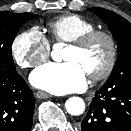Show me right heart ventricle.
<instances>
[{"mask_svg": "<svg viewBox=\"0 0 131 131\" xmlns=\"http://www.w3.org/2000/svg\"><path fill=\"white\" fill-rule=\"evenodd\" d=\"M94 29L93 22L75 14L63 15L48 23L50 36L55 42L70 43Z\"/></svg>", "mask_w": 131, "mask_h": 131, "instance_id": "right-heart-ventricle-1", "label": "right heart ventricle"}]
</instances>
